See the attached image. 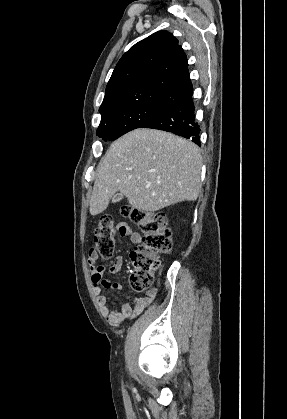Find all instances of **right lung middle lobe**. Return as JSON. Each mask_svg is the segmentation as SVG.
Wrapping results in <instances>:
<instances>
[{
	"label": "right lung middle lobe",
	"mask_w": 287,
	"mask_h": 419,
	"mask_svg": "<svg viewBox=\"0 0 287 419\" xmlns=\"http://www.w3.org/2000/svg\"><path fill=\"white\" fill-rule=\"evenodd\" d=\"M163 103H135L102 115L96 135L105 141H114L125 133L139 128L161 111Z\"/></svg>",
	"instance_id": "1"
}]
</instances>
